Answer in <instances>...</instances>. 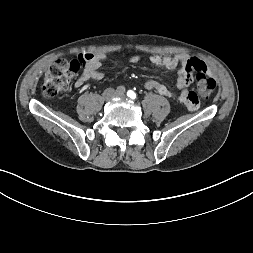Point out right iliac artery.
I'll use <instances>...</instances> for the list:
<instances>
[{"label":"right iliac artery","mask_w":253,"mask_h":253,"mask_svg":"<svg viewBox=\"0 0 253 253\" xmlns=\"http://www.w3.org/2000/svg\"><path fill=\"white\" fill-rule=\"evenodd\" d=\"M116 92H117V93L124 94V92H125V87H124V86H118L117 89H116Z\"/></svg>","instance_id":"1"}]
</instances>
